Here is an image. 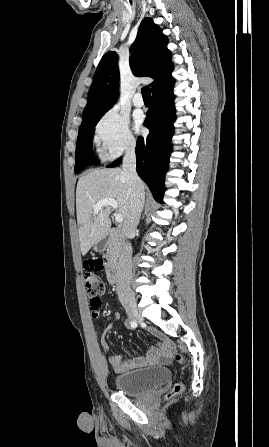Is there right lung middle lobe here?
I'll list each match as a JSON object with an SVG mask.
<instances>
[{"mask_svg":"<svg viewBox=\"0 0 269 447\" xmlns=\"http://www.w3.org/2000/svg\"><path fill=\"white\" fill-rule=\"evenodd\" d=\"M100 119L85 125L79 129L76 154L75 171L79 172L88 165L96 163V158L91 150L95 126Z\"/></svg>","mask_w":269,"mask_h":447,"instance_id":"obj_1","label":"right lung middle lobe"}]
</instances>
